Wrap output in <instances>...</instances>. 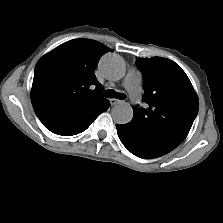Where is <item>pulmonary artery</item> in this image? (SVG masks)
Listing matches in <instances>:
<instances>
[{"instance_id":"e3ab8cb5","label":"pulmonary artery","mask_w":223,"mask_h":223,"mask_svg":"<svg viewBox=\"0 0 223 223\" xmlns=\"http://www.w3.org/2000/svg\"><path fill=\"white\" fill-rule=\"evenodd\" d=\"M141 83H142V74L136 69H131L127 73L124 79V87L128 91L131 100L135 104H141Z\"/></svg>"}]
</instances>
